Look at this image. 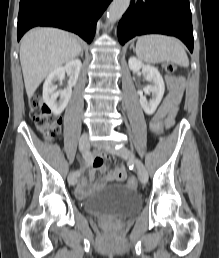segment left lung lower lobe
Returning a JSON list of instances; mask_svg holds the SVG:
<instances>
[{
	"mask_svg": "<svg viewBox=\"0 0 219 258\" xmlns=\"http://www.w3.org/2000/svg\"><path fill=\"white\" fill-rule=\"evenodd\" d=\"M191 21L189 0H132L118 24L117 35L122 45L139 35H171L193 52Z\"/></svg>",
	"mask_w": 219,
	"mask_h": 258,
	"instance_id": "left-lung-lower-lobe-1",
	"label": "left lung lower lobe"
}]
</instances>
